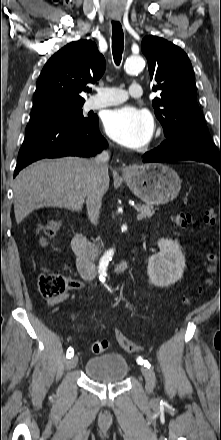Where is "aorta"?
<instances>
[{
	"instance_id": "762f6f07",
	"label": "aorta",
	"mask_w": 221,
	"mask_h": 440,
	"mask_svg": "<svg viewBox=\"0 0 221 440\" xmlns=\"http://www.w3.org/2000/svg\"><path fill=\"white\" fill-rule=\"evenodd\" d=\"M144 66H145V62L142 57L132 56L126 60L125 65H124V69L127 74L135 75V74H138L139 72H141L143 70ZM113 253H114V251L112 249L107 251L100 260L99 267H98V273H99V279L102 282L105 281V277L107 275V273H106L107 267H108L109 261L111 260V258L113 256Z\"/></svg>"
}]
</instances>
